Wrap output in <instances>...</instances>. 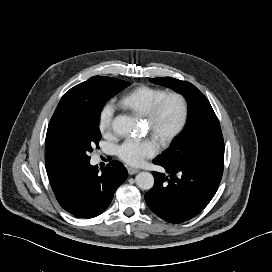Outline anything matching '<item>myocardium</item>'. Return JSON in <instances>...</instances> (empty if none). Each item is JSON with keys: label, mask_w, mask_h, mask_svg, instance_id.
I'll return each mask as SVG.
<instances>
[{"label": "myocardium", "mask_w": 272, "mask_h": 272, "mask_svg": "<svg viewBox=\"0 0 272 272\" xmlns=\"http://www.w3.org/2000/svg\"><path fill=\"white\" fill-rule=\"evenodd\" d=\"M169 100H173L177 103L179 110L178 118L172 128H170L166 132L159 133L157 128L158 120L160 118L164 105ZM187 117V101L181 93L176 91L166 92L164 95H162L145 116L151 133L164 145L171 142L182 131L186 124Z\"/></svg>", "instance_id": "1"}]
</instances>
